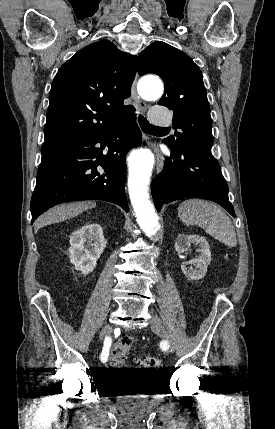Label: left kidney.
Wrapping results in <instances>:
<instances>
[{"label":"left kidney","mask_w":275,"mask_h":429,"mask_svg":"<svg viewBox=\"0 0 275 429\" xmlns=\"http://www.w3.org/2000/svg\"><path fill=\"white\" fill-rule=\"evenodd\" d=\"M191 243L199 245L200 256L182 263L181 269L189 280H199L206 275L207 267L211 262L210 246L204 237L180 234L175 241V251L178 254H182ZM188 264L195 266V268L187 267Z\"/></svg>","instance_id":"5707ae66"}]
</instances>
